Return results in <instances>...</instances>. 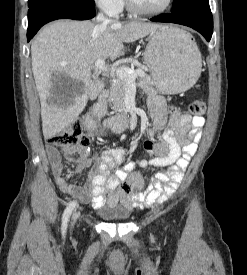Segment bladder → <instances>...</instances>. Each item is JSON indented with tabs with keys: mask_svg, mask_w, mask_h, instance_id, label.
I'll return each mask as SVG.
<instances>
[{
	"mask_svg": "<svg viewBox=\"0 0 247 275\" xmlns=\"http://www.w3.org/2000/svg\"><path fill=\"white\" fill-rule=\"evenodd\" d=\"M97 212L108 223H125L131 217L129 210L119 206L100 207Z\"/></svg>",
	"mask_w": 247,
	"mask_h": 275,
	"instance_id": "obj_1",
	"label": "bladder"
}]
</instances>
